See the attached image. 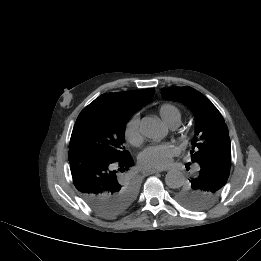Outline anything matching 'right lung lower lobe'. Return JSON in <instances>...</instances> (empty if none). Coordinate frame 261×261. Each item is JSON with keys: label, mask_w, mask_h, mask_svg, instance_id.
<instances>
[{"label": "right lung lower lobe", "mask_w": 261, "mask_h": 261, "mask_svg": "<svg viewBox=\"0 0 261 261\" xmlns=\"http://www.w3.org/2000/svg\"><path fill=\"white\" fill-rule=\"evenodd\" d=\"M69 162L73 183L84 201L112 217L119 215V201L115 195L133 165L131 155L123 159L105 157L79 146L69 148ZM111 194L113 197L105 198Z\"/></svg>", "instance_id": "obj_1"}]
</instances>
